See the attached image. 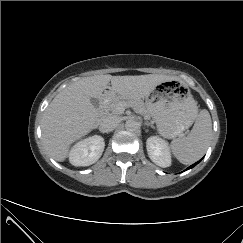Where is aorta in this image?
<instances>
[{
  "mask_svg": "<svg viewBox=\"0 0 243 243\" xmlns=\"http://www.w3.org/2000/svg\"><path fill=\"white\" fill-rule=\"evenodd\" d=\"M138 126H139L138 122L135 120H132V119L127 120L125 123L126 130L132 131V132L137 130Z\"/></svg>",
  "mask_w": 243,
  "mask_h": 243,
  "instance_id": "aorta-1",
  "label": "aorta"
}]
</instances>
